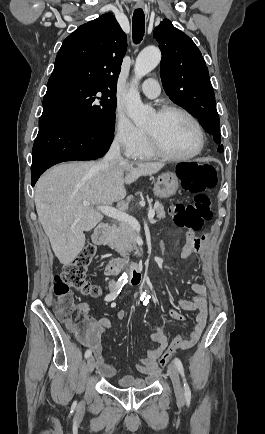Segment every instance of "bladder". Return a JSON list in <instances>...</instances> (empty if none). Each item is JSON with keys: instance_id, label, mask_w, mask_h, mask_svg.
Instances as JSON below:
<instances>
[{"instance_id": "bladder-1", "label": "bladder", "mask_w": 265, "mask_h": 434, "mask_svg": "<svg viewBox=\"0 0 265 434\" xmlns=\"http://www.w3.org/2000/svg\"><path fill=\"white\" fill-rule=\"evenodd\" d=\"M101 374L109 379L116 378L119 375V370L116 366L105 364L100 367Z\"/></svg>"}]
</instances>
